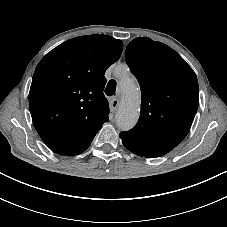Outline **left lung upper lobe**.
<instances>
[{
	"instance_id": "1",
	"label": "left lung upper lobe",
	"mask_w": 227,
	"mask_h": 227,
	"mask_svg": "<svg viewBox=\"0 0 227 227\" xmlns=\"http://www.w3.org/2000/svg\"><path fill=\"white\" fill-rule=\"evenodd\" d=\"M126 62L141 88L138 123L122 143L164 155L188 134L199 104L196 74L172 48L147 37L126 48Z\"/></svg>"
}]
</instances>
